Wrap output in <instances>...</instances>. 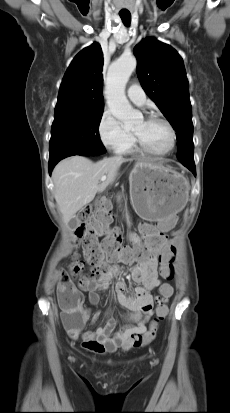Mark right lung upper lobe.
I'll return each mask as SVG.
<instances>
[{"instance_id": "1", "label": "right lung upper lobe", "mask_w": 230, "mask_h": 413, "mask_svg": "<svg viewBox=\"0 0 230 413\" xmlns=\"http://www.w3.org/2000/svg\"><path fill=\"white\" fill-rule=\"evenodd\" d=\"M102 68L103 53L98 43L80 51L63 77L55 115L103 111Z\"/></svg>"}]
</instances>
